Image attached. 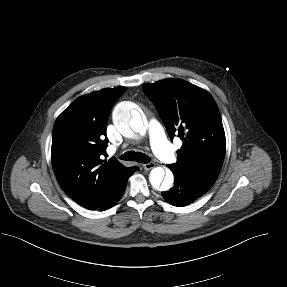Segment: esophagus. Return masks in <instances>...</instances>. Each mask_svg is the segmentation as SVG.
<instances>
[{
    "label": "esophagus",
    "instance_id": "obj_1",
    "mask_svg": "<svg viewBox=\"0 0 287 287\" xmlns=\"http://www.w3.org/2000/svg\"><path fill=\"white\" fill-rule=\"evenodd\" d=\"M155 166L156 165L153 162L145 163V164L142 165L144 170H151V169L155 168Z\"/></svg>",
    "mask_w": 287,
    "mask_h": 287
}]
</instances>
